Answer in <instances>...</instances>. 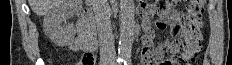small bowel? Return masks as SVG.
<instances>
[{"mask_svg":"<svg viewBox=\"0 0 232 65\" xmlns=\"http://www.w3.org/2000/svg\"><path fill=\"white\" fill-rule=\"evenodd\" d=\"M145 13H144V28L146 31V36L142 39V64L143 65H172L173 63L170 62H160L157 63L154 55L160 56V51H154L153 46L151 44V39L153 38L154 32L150 24V19L154 14L153 8L149 6H144ZM156 26L161 29H170V31L178 36L185 35L186 32V25L184 21V16L178 12H171L167 16H160L156 20ZM69 49L73 51L83 50V51H90L88 48V42L82 38L79 34V37L74 39L69 44Z\"/></svg>","mask_w":232,"mask_h":65,"instance_id":"small-bowel-1","label":"small bowel"}]
</instances>
